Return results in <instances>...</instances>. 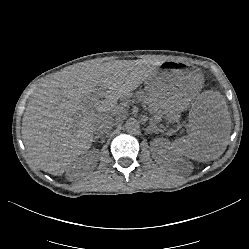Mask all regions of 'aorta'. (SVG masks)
Returning a JSON list of instances; mask_svg holds the SVG:
<instances>
[{"mask_svg": "<svg viewBox=\"0 0 249 249\" xmlns=\"http://www.w3.org/2000/svg\"><path fill=\"white\" fill-rule=\"evenodd\" d=\"M140 127V124L137 119L135 118H129L125 122V129L129 132L137 131Z\"/></svg>", "mask_w": 249, "mask_h": 249, "instance_id": "1", "label": "aorta"}]
</instances>
